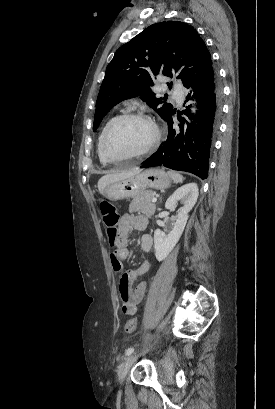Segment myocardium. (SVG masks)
<instances>
[{
    "instance_id": "1",
    "label": "myocardium",
    "mask_w": 275,
    "mask_h": 409,
    "mask_svg": "<svg viewBox=\"0 0 275 409\" xmlns=\"http://www.w3.org/2000/svg\"><path fill=\"white\" fill-rule=\"evenodd\" d=\"M125 120H137V121L143 122L149 128L150 134H149V137H148L147 141L145 142V144L142 147H140L139 149H137V150H135V151H133L131 153H128V154H126V155H124L122 157H138V156L144 155V154L148 153L155 146V144L157 143V141L159 139V129H158L157 125L148 116H146L144 114H139V113L122 114V115L116 117L111 122V124L109 125V127L107 128V130H106V132L104 134V137H103L102 143H101V150H100L101 157H107L105 155L104 148H105L106 141L109 138L112 130L116 127L117 124H119L120 122L125 121Z\"/></svg>"
}]
</instances>
